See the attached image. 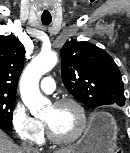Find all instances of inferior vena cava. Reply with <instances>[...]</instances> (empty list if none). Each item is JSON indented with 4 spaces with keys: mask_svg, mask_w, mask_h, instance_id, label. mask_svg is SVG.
I'll return each instance as SVG.
<instances>
[{
    "mask_svg": "<svg viewBox=\"0 0 130 153\" xmlns=\"http://www.w3.org/2000/svg\"><path fill=\"white\" fill-rule=\"evenodd\" d=\"M23 148H24V153H38L36 148L26 143L23 144Z\"/></svg>",
    "mask_w": 130,
    "mask_h": 153,
    "instance_id": "obj_1",
    "label": "inferior vena cava"
}]
</instances>
